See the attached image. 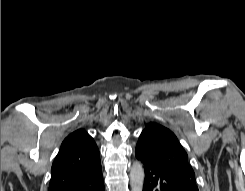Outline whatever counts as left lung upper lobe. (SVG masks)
Wrapping results in <instances>:
<instances>
[{"instance_id": "obj_1", "label": "left lung upper lobe", "mask_w": 245, "mask_h": 191, "mask_svg": "<svg viewBox=\"0 0 245 191\" xmlns=\"http://www.w3.org/2000/svg\"><path fill=\"white\" fill-rule=\"evenodd\" d=\"M136 154L152 164L179 174L186 180L196 183L188 155L176 135L156 123H150L142 131L136 145Z\"/></svg>"}]
</instances>
